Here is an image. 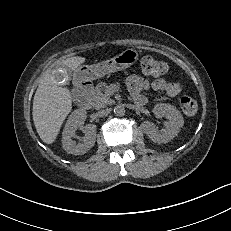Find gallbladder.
Segmentation results:
<instances>
[{
    "instance_id": "bac80fb5",
    "label": "gallbladder",
    "mask_w": 231,
    "mask_h": 231,
    "mask_svg": "<svg viewBox=\"0 0 231 231\" xmlns=\"http://www.w3.org/2000/svg\"><path fill=\"white\" fill-rule=\"evenodd\" d=\"M51 79L58 86H65L72 79V72L64 65H57L51 72Z\"/></svg>"
}]
</instances>
